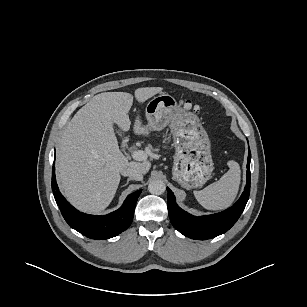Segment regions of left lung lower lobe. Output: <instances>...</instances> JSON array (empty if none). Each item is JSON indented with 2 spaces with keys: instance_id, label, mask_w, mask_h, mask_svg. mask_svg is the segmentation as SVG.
Returning a JSON list of instances; mask_svg holds the SVG:
<instances>
[{
  "instance_id": "1",
  "label": "left lung lower lobe",
  "mask_w": 307,
  "mask_h": 307,
  "mask_svg": "<svg viewBox=\"0 0 307 307\" xmlns=\"http://www.w3.org/2000/svg\"><path fill=\"white\" fill-rule=\"evenodd\" d=\"M250 161L251 152H248L247 183L239 200L229 209L220 213L196 217L182 210L175 201L173 192L167 188V208L173 226L183 235L197 240L214 238L227 232L242 214L250 194Z\"/></svg>"
}]
</instances>
